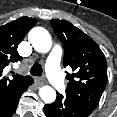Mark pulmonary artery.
I'll list each match as a JSON object with an SVG mask.
<instances>
[{
    "label": "pulmonary artery",
    "mask_w": 117,
    "mask_h": 117,
    "mask_svg": "<svg viewBox=\"0 0 117 117\" xmlns=\"http://www.w3.org/2000/svg\"><path fill=\"white\" fill-rule=\"evenodd\" d=\"M61 55V48L59 46H54L46 62L47 75L52 85L59 91H63L65 89L64 79L59 67Z\"/></svg>",
    "instance_id": "e3ab8cb5"
}]
</instances>
